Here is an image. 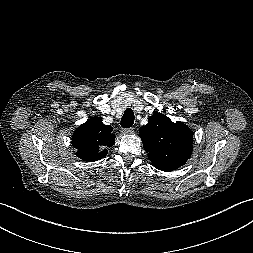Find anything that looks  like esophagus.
<instances>
[{
  "instance_id": "obj_1",
  "label": "esophagus",
  "mask_w": 253,
  "mask_h": 253,
  "mask_svg": "<svg viewBox=\"0 0 253 253\" xmlns=\"http://www.w3.org/2000/svg\"><path fill=\"white\" fill-rule=\"evenodd\" d=\"M123 134H133L134 133V128H127L122 130Z\"/></svg>"
}]
</instances>
